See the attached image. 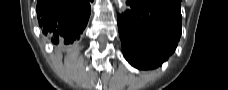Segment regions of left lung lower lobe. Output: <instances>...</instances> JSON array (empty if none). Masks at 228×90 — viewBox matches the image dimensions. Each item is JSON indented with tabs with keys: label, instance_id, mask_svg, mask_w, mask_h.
Returning <instances> with one entry per match:
<instances>
[{
	"label": "left lung lower lobe",
	"instance_id": "left-lung-lower-lobe-1",
	"mask_svg": "<svg viewBox=\"0 0 228 90\" xmlns=\"http://www.w3.org/2000/svg\"><path fill=\"white\" fill-rule=\"evenodd\" d=\"M118 14L123 53L140 69L155 68L171 55L181 36L180 0H129Z\"/></svg>",
	"mask_w": 228,
	"mask_h": 90
}]
</instances>
